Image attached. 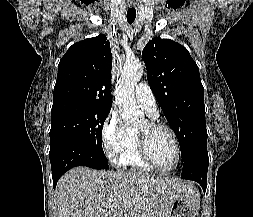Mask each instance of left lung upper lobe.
Here are the masks:
<instances>
[{
  "instance_id": "obj_1",
  "label": "left lung upper lobe",
  "mask_w": 253,
  "mask_h": 217,
  "mask_svg": "<svg viewBox=\"0 0 253 217\" xmlns=\"http://www.w3.org/2000/svg\"><path fill=\"white\" fill-rule=\"evenodd\" d=\"M142 59L150 88L178 138L185 162L193 151L207 148L199 68L184 46L159 37L147 43Z\"/></svg>"
}]
</instances>
